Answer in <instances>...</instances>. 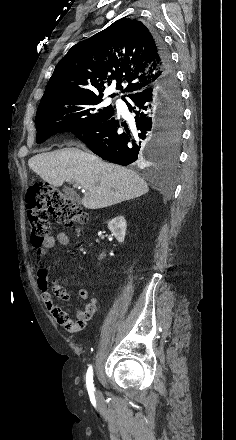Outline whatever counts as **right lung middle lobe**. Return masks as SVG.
Wrapping results in <instances>:
<instances>
[{"mask_svg":"<svg viewBox=\"0 0 236 440\" xmlns=\"http://www.w3.org/2000/svg\"><path fill=\"white\" fill-rule=\"evenodd\" d=\"M178 88L176 98L179 97ZM102 99L90 94H77L50 98L40 102L36 114L37 143L47 140L52 134L70 131L82 133L108 120L114 108L101 106ZM182 110L180 109L179 116ZM181 136V123H170L161 137V153L170 161L177 157V146Z\"/></svg>","mask_w":236,"mask_h":440,"instance_id":"right-lung-middle-lobe-1","label":"right lung middle lobe"}]
</instances>
